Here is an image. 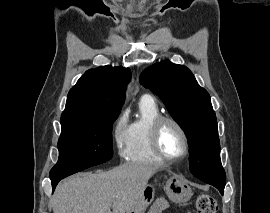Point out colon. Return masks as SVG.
I'll return each instance as SVG.
<instances>
[{
    "label": "colon",
    "instance_id": "colon-1",
    "mask_svg": "<svg viewBox=\"0 0 270 213\" xmlns=\"http://www.w3.org/2000/svg\"><path fill=\"white\" fill-rule=\"evenodd\" d=\"M196 213H216L217 202L216 200L207 194H201L197 197L196 202Z\"/></svg>",
    "mask_w": 270,
    "mask_h": 213
}]
</instances>
